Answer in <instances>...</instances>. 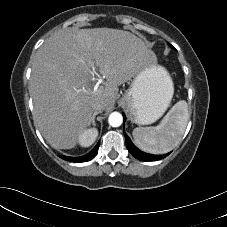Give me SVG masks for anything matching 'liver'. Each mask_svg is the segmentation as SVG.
Instances as JSON below:
<instances>
[{"mask_svg": "<svg viewBox=\"0 0 227 227\" xmlns=\"http://www.w3.org/2000/svg\"><path fill=\"white\" fill-rule=\"evenodd\" d=\"M149 63H157L155 53L128 31L93 28L54 33L35 54L29 85L42 136L53 148H74L92 123L93 103L101 100L104 110L110 109L118 86ZM95 69L106 79L102 85L95 83Z\"/></svg>", "mask_w": 227, "mask_h": 227, "instance_id": "obj_1", "label": "liver"}]
</instances>
